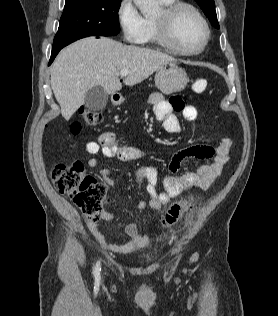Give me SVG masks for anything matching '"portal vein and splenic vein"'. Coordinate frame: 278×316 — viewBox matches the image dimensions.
<instances>
[{"label":"portal vein and splenic vein","mask_w":278,"mask_h":316,"mask_svg":"<svg viewBox=\"0 0 278 316\" xmlns=\"http://www.w3.org/2000/svg\"><path fill=\"white\" fill-rule=\"evenodd\" d=\"M128 73H129V71H127V70H122V71L120 72V75H121V77H125L126 75H128Z\"/></svg>","instance_id":"portal-vein-and-splenic-vein-1"}]
</instances>
